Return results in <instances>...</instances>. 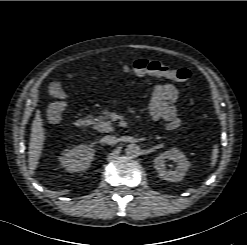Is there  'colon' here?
I'll use <instances>...</instances> for the list:
<instances>
[{"label":"colon","mask_w":247,"mask_h":245,"mask_svg":"<svg viewBox=\"0 0 247 245\" xmlns=\"http://www.w3.org/2000/svg\"><path fill=\"white\" fill-rule=\"evenodd\" d=\"M123 72L136 76L153 75L164 77L184 85H188L191 76L190 71L186 68L173 69L155 59H138L131 64L125 65ZM49 95L53 102L46 110V118L50 123H57L61 120L65 110V92L59 83H52L49 87ZM181 126L182 120L179 117L167 122V127L170 130L179 129Z\"/></svg>","instance_id":"1"}]
</instances>
